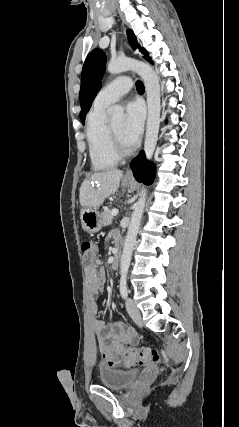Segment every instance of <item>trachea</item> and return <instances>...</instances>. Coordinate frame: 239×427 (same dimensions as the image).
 <instances>
[{
	"label": "trachea",
	"mask_w": 239,
	"mask_h": 427,
	"mask_svg": "<svg viewBox=\"0 0 239 427\" xmlns=\"http://www.w3.org/2000/svg\"><path fill=\"white\" fill-rule=\"evenodd\" d=\"M136 89L138 92H144V84L142 83V81L138 80L136 82Z\"/></svg>",
	"instance_id": "trachea-1"
}]
</instances>
